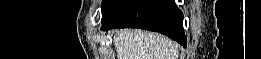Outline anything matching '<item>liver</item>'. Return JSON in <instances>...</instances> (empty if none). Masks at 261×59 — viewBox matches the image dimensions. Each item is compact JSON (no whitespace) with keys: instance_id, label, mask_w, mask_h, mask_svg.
<instances>
[{"instance_id":"1","label":"liver","mask_w":261,"mask_h":59,"mask_svg":"<svg viewBox=\"0 0 261 59\" xmlns=\"http://www.w3.org/2000/svg\"><path fill=\"white\" fill-rule=\"evenodd\" d=\"M118 59H178V44L167 37L142 30L125 29L114 34Z\"/></svg>"}]
</instances>
